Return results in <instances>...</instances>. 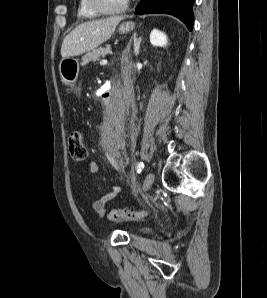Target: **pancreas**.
<instances>
[{"label":"pancreas","mask_w":267,"mask_h":298,"mask_svg":"<svg viewBox=\"0 0 267 298\" xmlns=\"http://www.w3.org/2000/svg\"><path fill=\"white\" fill-rule=\"evenodd\" d=\"M110 50V45H106L105 47H99L97 49H94L93 51L87 53L83 58L81 65L84 66L90 61H96L99 60L100 57H104L108 54Z\"/></svg>","instance_id":"pancreas-1"}]
</instances>
